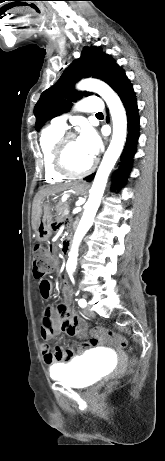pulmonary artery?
<instances>
[{
    "mask_svg": "<svg viewBox=\"0 0 165 461\" xmlns=\"http://www.w3.org/2000/svg\"><path fill=\"white\" fill-rule=\"evenodd\" d=\"M78 109L80 111L97 113L103 110V104L99 97H88L79 102ZM66 119V115L57 116L52 120V125L64 130L66 128Z\"/></svg>",
    "mask_w": 165,
    "mask_h": 461,
    "instance_id": "obj_1",
    "label": "pulmonary artery"
}]
</instances>
